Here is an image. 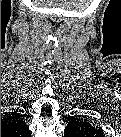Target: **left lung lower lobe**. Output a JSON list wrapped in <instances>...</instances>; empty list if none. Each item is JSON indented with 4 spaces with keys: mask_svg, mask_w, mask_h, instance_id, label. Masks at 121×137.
I'll return each instance as SVG.
<instances>
[{
    "mask_svg": "<svg viewBox=\"0 0 121 137\" xmlns=\"http://www.w3.org/2000/svg\"><path fill=\"white\" fill-rule=\"evenodd\" d=\"M65 134H66V135H68V134H70V132H69V131H67V130H65Z\"/></svg>",
    "mask_w": 121,
    "mask_h": 137,
    "instance_id": "0a47b994",
    "label": "left lung lower lobe"
}]
</instances>
